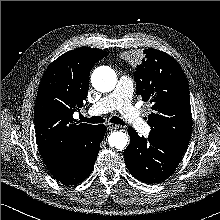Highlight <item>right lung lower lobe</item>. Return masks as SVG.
Masks as SVG:
<instances>
[{
    "mask_svg": "<svg viewBox=\"0 0 220 220\" xmlns=\"http://www.w3.org/2000/svg\"><path fill=\"white\" fill-rule=\"evenodd\" d=\"M105 132V125H94L57 162L48 167L52 176L65 185L85 180L94 168Z\"/></svg>",
    "mask_w": 220,
    "mask_h": 220,
    "instance_id": "98d812e1",
    "label": "right lung lower lobe"
}]
</instances>
